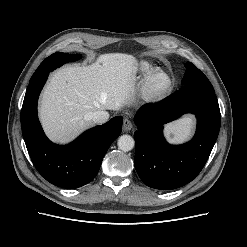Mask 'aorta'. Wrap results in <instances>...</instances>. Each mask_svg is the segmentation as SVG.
<instances>
[{"instance_id":"1","label":"aorta","mask_w":247,"mask_h":247,"mask_svg":"<svg viewBox=\"0 0 247 247\" xmlns=\"http://www.w3.org/2000/svg\"><path fill=\"white\" fill-rule=\"evenodd\" d=\"M118 148L124 152L132 150L135 146V141L130 135H122L118 139Z\"/></svg>"}]
</instances>
